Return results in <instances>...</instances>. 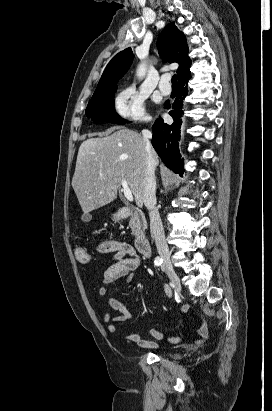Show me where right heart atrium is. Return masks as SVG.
Returning <instances> with one entry per match:
<instances>
[{
    "label": "right heart atrium",
    "instance_id": "right-heart-atrium-1",
    "mask_svg": "<svg viewBox=\"0 0 272 411\" xmlns=\"http://www.w3.org/2000/svg\"><path fill=\"white\" fill-rule=\"evenodd\" d=\"M113 109L121 119L141 122L149 120L145 110V98L134 86L125 87L116 95Z\"/></svg>",
    "mask_w": 272,
    "mask_h": 411
}]
</instances>
